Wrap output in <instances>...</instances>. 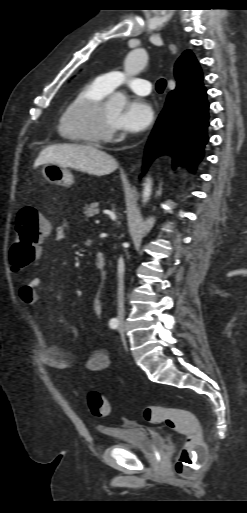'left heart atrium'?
Returning a JSON list of instances; mask_svg holds the SVG:
<instances>
[{
	"instance_id": "left-heart-atrium-1",
	"label": "left heart atrium",
	"mask_w": 247,
	"mask_h": 513,
	"mask_svg": "<svg viewBox=\"0 0 247 513\" xmlns=\"http://www.w3.org/2000/svg\"><path fill=\"white\" fill-rule=\"evenodd\" d=\"M154 120V111L150 104L140 98L130 100L117 116L114 127L130 132L148 128Z\"/></svg>"
}]
</instances>
